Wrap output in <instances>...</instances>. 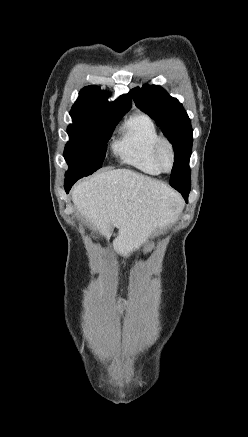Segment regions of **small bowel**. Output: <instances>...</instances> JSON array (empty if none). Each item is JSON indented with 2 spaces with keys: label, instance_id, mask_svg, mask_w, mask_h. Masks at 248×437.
<instances>
[{
  "label": "small bowel",
  "instance_id": "c3829d8e",
  "mask_svg": "<svg viewBox=\"0 0 248 437\" xmlns=\"http://www.w3.org/2000/svg\"><path fill=\"white\" fill-rule=\"evenodd\" d=\"M117 304H118L120 307H123V306L126 304V301H125L123 298H120V299L117 301Z\"/></svg>",
  "mask_w": 248,
  "mask_h": 437
}]
</instances>
